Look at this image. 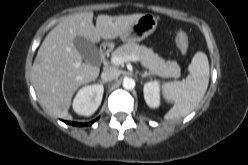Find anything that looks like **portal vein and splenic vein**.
I'll use <instances>...</instances> for the list:
<instances>
[{
    "instance_id": "18ae733b",
    "label": "portal vein and splenic vein",
    "mask_w": 248,
    "mask_h": 165,
    "mask_svg": "<svg viewBox=\"0 0 248 165\" xmlns=\"http://www.w3.org/2000/svg\"><path fill=\"white\" fill-rule=\"evenodd\" d=\"M139 60H140V58L136 55L113 56L111 58V62L114 65H121L122 63L127 62V61L137 62Z\"/></svg>"
}]
</instances>
